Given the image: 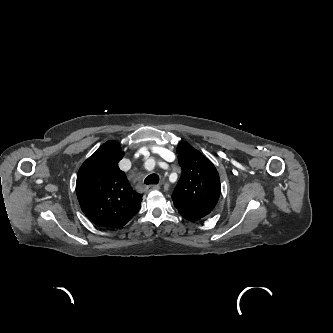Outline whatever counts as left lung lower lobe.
<instances>
[{
    "instance_id": "0a47b994",
    "label": "left lung lower lobe",
    "mask_w": 333,
    "mask_h": 333,
    "mask_svg": "<svg viewBox=\"0 0 333 333\" xmlns=\"http://www.w3.org/2000/svg\"><path fill=\"white\" fill-rule=\"evenodd\" d=\"M181 216H183L185 219L189 220V221H197L200 218L196 217V216H192V215H187V214H183L181 213Z\"/></svg>"
}]
</instances>
